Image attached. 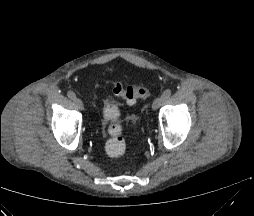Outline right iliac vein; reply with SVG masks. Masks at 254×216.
Listing matches in <instances>:
<instances>
[{
    "instance_id": "obj_1",
    "label": "right iliac vein",
    "mask_w": 254,
    "mask_h": 216,
    "mask_svg": "<svg viewBox=\"0 0 254 216\" xmlns=\"http://www.w3.org/2000/svg\"><path fill=\"white\" fill-rule=\"evenodd\" d=\"M74 100V104L75 106L79 109V110H83L84 109V105L81 99L79 98H75Z\"/></svg>"
}]
</instances>
